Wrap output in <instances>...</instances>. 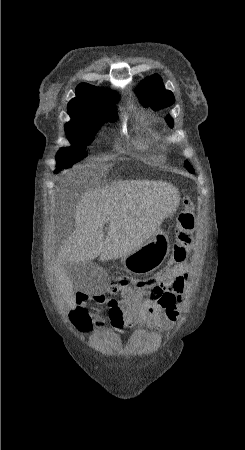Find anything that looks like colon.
Here are the masks:
<instances>
[{"label":"colon","mask_w":245,"mask_h":450,"mask_svg":"<svg viewBox=\"0 0 245 450\" xmlns=\"http://www.w3.org/2000/svg\"><path fill=\"white\" fill-rule=\"evenodd\" d=\"M195 232V208L191 197L184 196L181 201V210L177 216V226L175 230V243L172 254L168 262L169 268L181 265L187 261L188 255L193 246ZM147 278L133 276H116L111 285L116 290L136 291L142 288ZM89 296L77 293V300H86ZM72 327L80 333H86L92 328V312L83 306H77L70 318Z\"/></svg>","instance_id":"obj_1"}]
</instances>
